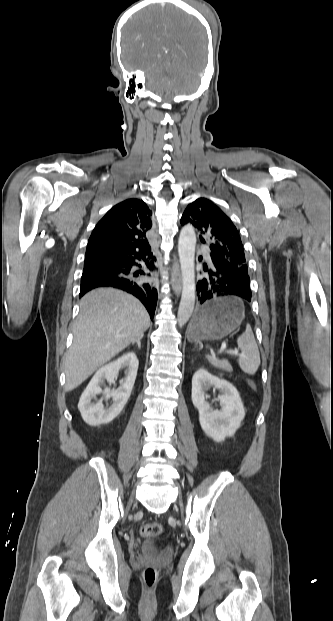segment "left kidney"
<instances>
[{"label": "left kidney", "mask_w": 333, "mask_h": 621, "mask_svg": "<svg viewBox=\"0 0 333 621\" xmlns=\"http://www.w3.org/2000/svg\"><path fill=\"white\" fill-rule=\"evenodd\" d=\"M221 391L217 398L220 409H214L205 398V392L211 388ZM192 402L199 411V422L204 433L214 441H223L233 436L241 426L245 410L236 388L224 379L211 375L205 369H199L192 378Z\"/></svg>", "instance_id": "1"}]
</instances>
